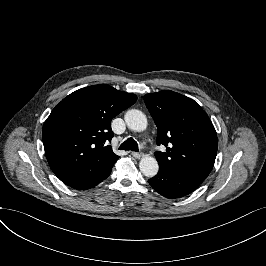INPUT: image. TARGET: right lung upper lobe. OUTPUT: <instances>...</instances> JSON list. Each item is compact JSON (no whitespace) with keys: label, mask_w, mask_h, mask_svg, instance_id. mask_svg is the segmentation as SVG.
Here are the masks:
<instances>
[{"label":"right lung upper lobe","mask_w":266,"mask_h":266,"mask_svg":"<svg viewBox=\"0 0 266 266\" xmlns=\"http://www.w3.org/2000/svg\"><path fill=\"white\" fill-rule=\"evenodd\" d=\"M137 100L109 85L79 89L53 109L43 126L46 158L54 174L73 186L113 167L119 156L107 145L111 120Z\"/></svg>","instance_id":"cb5924a9"}]
</instances>
